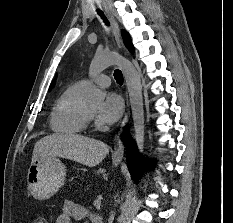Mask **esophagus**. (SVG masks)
I'll use <instances>...</instances> for the list:
<instances>
[{"mask_svg":"<svg viewBox=\"0 0 233 223\" xmlns=\"http://www.w3.org/2000/svg\"><path fill=\"white\" fill-rule=\"evenodd\" d=\"M102 3H103V6H104V8H105V10L107 12L109 20L111 22L117 45L119 46V48H121L122 47V45H121V34H120L118 23L115 20V17L113 15L112 11L108 8L106 1L103 0ZM125 110L126 111H125V115H124L120 130L115 135L114 151H113V154H112V157L115 158V159H122L123 158L124 147H123L122 141L120 139V134H121L122 127H124V125L127 123L128 118H129L128 94H126Z\"/></svg>","mask_w":233,"mask_h":223,"instance_id":"obj_1","label":"esophagus"}]
</instances>
